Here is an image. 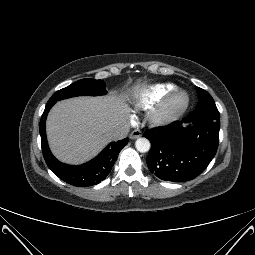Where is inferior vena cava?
I'll return each instance as SVG.
<instances>
[{"instance_id":"1","label":"inferior vena cava","mask_w":255,"mask_h":255,"mask_svg":"<svg viewBox=\"0 0 255 255\" xmlns=\"http://www.w3.org/2000/svg\"><path fill=\"white\" fill-rule=\"evenodd\" d=\"M129 132V126L124 124V125H120L117 128L113 129L110 133H109V137L113 140V141H118L121 140L123 138H125L127 136Z\"/></svg>"}]
</instances>
